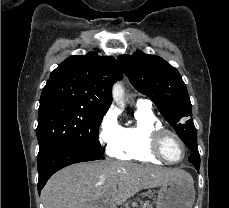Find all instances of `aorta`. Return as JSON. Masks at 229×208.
<instances>
[{
  "label": "aorta",
  "mask_w": 229,
  "mask_h": 208,
  "mask_svg": "<svg viewBox=\"0 0 229 208\" xmlns=\"http://www.w3.org/2000/svg\"><path fill=\"white\" fill-rule=\"evenodd\" d=\"M125 91L121 83L117 82L112 89V96L115 103L123 105Z\"/></svg>",
  "instance_id": "aorta-1"
}]
</instances>
